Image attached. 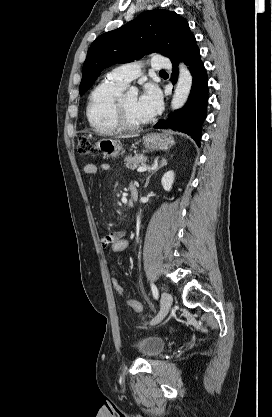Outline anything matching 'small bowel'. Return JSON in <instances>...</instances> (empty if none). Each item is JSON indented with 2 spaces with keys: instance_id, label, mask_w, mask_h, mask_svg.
<instances>
[{
  "instance_id": "small-bowel-1",
  "label": "small bowel",
  "mask_w": 272,
  "mask_h": 417,
  "mask_svg": "<svg viewBox=\"0 0 272 417\" xmlns=\"http://www.w3.org/2000/svg\"><path fill=\"white\" fill-rule=\"evenodd\" d=\"M109 169V164L106 162H99L98 164H86L83 167V173L85 175H93L95 174L98 170H108ZM125 234L123 231H112V232H108L105 233L102 238H101V242L102 245L105 249L108 248V245L110 244V242L117 238V237H124ZM142 310V307L141 309Z\"/></svg>"
}]
</instances>
